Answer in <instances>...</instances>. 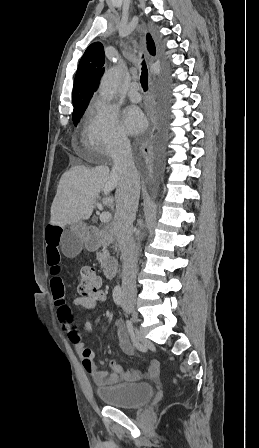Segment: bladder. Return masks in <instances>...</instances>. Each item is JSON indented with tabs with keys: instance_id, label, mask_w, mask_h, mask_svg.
Returning a JSON list of instances; mask_svg holds the SVG:
<instances>
[{
	"instance_id": "obj_1",
	"label": "bladder",
	"mask_w": 259,
	"mask_h": 448,
	"mask_svg": "<svg viewBox=\"0 0 259 448\" xmlns=\"http://www.w3.org/2000/svg\"><path fill=\"white\" fill-rule=\"evenodd\" d=\"M154 387L149 383H122L101 388L97 396L106 405L118 408H138L150 401Z\"/></svg>"
}]
</instances>
